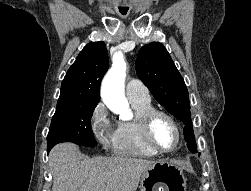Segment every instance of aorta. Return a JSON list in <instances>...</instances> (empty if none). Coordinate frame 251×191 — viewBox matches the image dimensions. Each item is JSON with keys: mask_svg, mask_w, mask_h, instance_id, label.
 I'll list each match as a JSON object with an SVG mask.
<instances>
[{"mask_svg": "<svg viewBox=\"0 0 251 191\" xmlns=\"http://www.w3.org/2000/svg\"><path fill=\"white\" fill-rule=\"evenodd\" d=\"M126 70L123 54H115L112 68L103 78L101 86V97L104 103L113 113H118L121 119H129L131 115L124 90Z\"/></svg>", "mask_w": 251, "mask_h": 191, "instance_id": "1", "label": "aorta"}]
</instances>
